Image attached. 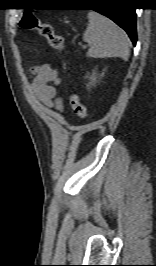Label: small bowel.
<instances>
[{
  "label": "small bowel",
  "instance_id": "c3829d8e",
  "mask_svg": "<svg viewBox=\"0 0 156 266\" xmlns=\"http://www.w3.org/2000/svg\"><path fill=\"white\" fill-rule=\"evenodd\" d=\"M32 74L31 88L37 99L46 107L62 112L63 102L56 92V87L62 83L58 70L50 64H43L34 67Z\"/></svg>",
  "mask_w": 156,
  "mask_h": 266
}]
</instances>
